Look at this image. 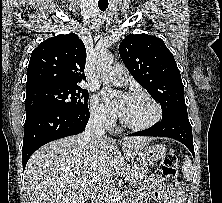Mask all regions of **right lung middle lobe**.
Masks as SVG:
<instances>
[{
  "label": "right lung middle lobe",
  "instance_id": "obj_1",
  "mask_svg": "<svg viewBox=\"0 0 222 203\" xmlns=\"http://www.w3.org/2000/svg\"><path fill=\"white\" fill-rule=\"evenodd\" d=\"M88 91L78 85L40 87L26 91V112L40 107L69 110L87 109Z\"/></svg>",
  "mask_w": 222,
  "mask_h": 203
}]
</instances>
